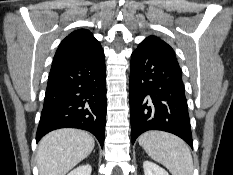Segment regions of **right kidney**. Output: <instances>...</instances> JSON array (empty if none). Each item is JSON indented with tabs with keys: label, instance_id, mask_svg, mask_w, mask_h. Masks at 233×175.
Listing matches in <instances>:
<instances>
[{
	"label": "right kidney",
	"instance_id": "1",
	"mask_svg": "<svg viewBox=\"0 0 233 175\" xmlns=\"http://www.w3.org/2000/svg\"><path fill=\"white\" fill-rule=\"evenodd\" d=\"M91 171V166L89 164H86L72 170L68 175H91Z\"/></svg>",
	"mask_w": 233,
	"mask_h": 175
}]
</instances>
